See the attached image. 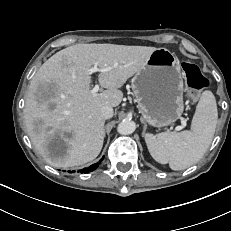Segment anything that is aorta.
Here are the masks:
<instances>
[{"label":"aorta","instance_id":"obj_1","mask_svg":"<svg viewBox=\"0 0 231 231\" xmlns=\"http://www.w3.org/2000/svg\"><path fill=\"white\" fill-rule=\"evenodd\" d=\"M136 129V124L130 120H123L118 124L117 131L121 135L132 134Z\"/></svg>","mask_w":231,"mask_h":231}]
</instances>
